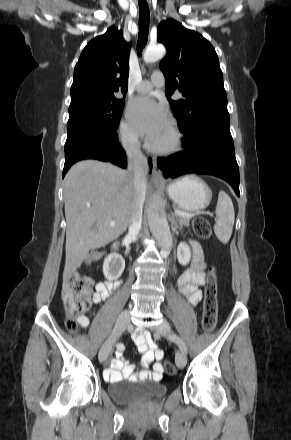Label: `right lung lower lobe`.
<instances>
[{"instance_id":"obj_1","label":"right lung lower lobe","mask_w":291,"mask_h":440,"mask_svg":"<svg viewBox=\"0 0 291 440\" xmlns=\"http://www.w3.org/2000/svg\"><path fill=\"white\" fill-rule=\"evenodd\" d=\"M97 159L125 168L126 154L119 144L116 131L100 132L91 129H72L67 132L63 177L77 161ZM150 168L152 167L149 162Z\"/></svg>"}]
</instances>
